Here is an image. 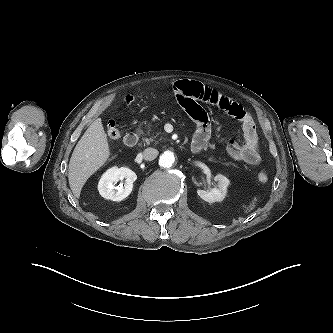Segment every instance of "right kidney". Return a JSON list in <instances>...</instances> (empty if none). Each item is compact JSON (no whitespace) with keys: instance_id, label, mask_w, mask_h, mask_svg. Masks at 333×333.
<instances>
[{"instance_id":"right-kidney-1","label":"right kidney","mask_w":333,"mask_h":333,"mask_svg":"<svg viewBox=\"0 0 333 333\" xmlns=\"http://www.w3.org/2000/svg\"><path fill=\"white\" fill-rule=\"evenodd\" d=\"M123 179H125L124 185L121 183L115 187V184ZM136 179L137 175L129 168L112 167L101 177L98 184V191L105 199L121 201L131 193L133 183Z\"/></svg>"}]
</instances>
